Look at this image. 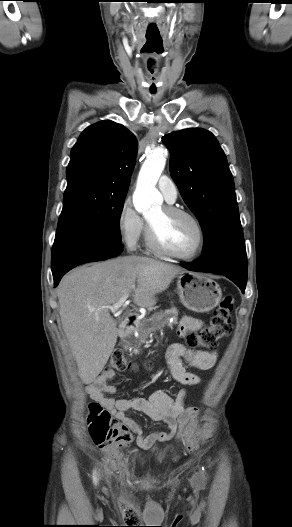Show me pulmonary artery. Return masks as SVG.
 Instances as JSON below:
<instances>
[{"mask_svg":"<svg viewBox=\"0 0 292 527\" xmlns=\"http://www.w3.org/2000/svg\"><path fill=\"white\" fill-rule=\"evenodd\" d=\"M158 188L167 202L173 203L176 200L177 187L170 177L161 176L158 180Z\"/></svg>","mask_w":292,"mask_h":527,"instance_id":"e3ab8cb5","label":"pulmonary artery"}]
</instances>
